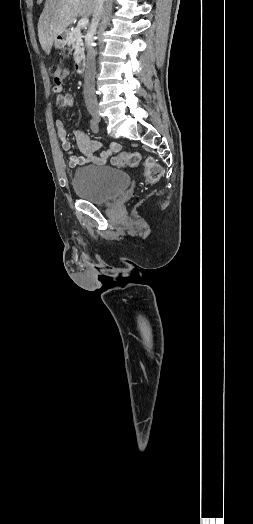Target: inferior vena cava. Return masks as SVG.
Instances as JSON below:
<instances>
[{
    "label": "inferior vena cava",
    "mask_w": 253,
    "mask_h": 524,
    "mask_svg": "<svg viewBox=\"0 0 253 524\" xmlns=\"http://www.w3.org/2000/svg\"><path fill=\"white\" fill-rule=\"evenodd\" d=\"M104 0H96V6L93 13L92 23L90 25V31L86 43L87 48V67L84 76L85 92L84 98L87 107L97 106V98L95 94V56L96 51L92 46L93 36L96 32L97 25L99 23L102 11H103Z\"/></svg>",
    "instance_id": "inferior-vena-cava-1"
}]
</instances>
